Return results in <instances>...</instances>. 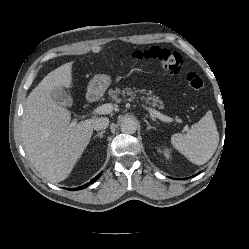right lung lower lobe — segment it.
<instances>
[{
    "instance_id": "98d812e1",
    "label": "right lung lower lobe",
    "mask_w": 249,
    "mask_h": 249,
    "mask_svg": "<svg viewBox=\"0 0 249 249\" xmlns=\"http://www.w3.org/2000/svg\"><path fill=\"white\" fill-rule=\"evenodd\" d=\"M101 174H98L95 178H93L89 183L83 185V186H80L78 188H68V190H71V191H74V190H80V189H83L85 187H87L89 184L95 182L99 177H100Z\"/></svg>"
}]
</instances>
